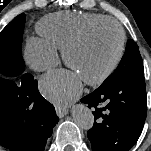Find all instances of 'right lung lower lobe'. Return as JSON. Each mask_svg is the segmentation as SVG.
I'll use <instances>...</instances> for the list:
<instances>
[{
	"mask_svg": "<svg viewBox=\"0 0 151 151\" xmlns=\"http://www.w3.org/2000/svg\"><path fill=\"white\" fill-rule=\"evenodd\" d=\"M0 103L9 120L0 145L7 151H43L59 118L54 106L39 93L37 80L31 74H22L17 86L0 77Z\"/></svg>",
	"mask_w": 151,
	"mask_h": 151,
	"instance_id": "1",
	"label": "right lung lower lobe"
}]
</instances>
